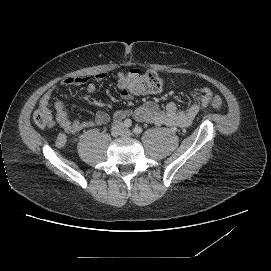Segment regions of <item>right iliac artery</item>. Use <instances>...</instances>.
Instances as JSON below:
<instances>
[{"label": "right iliac artery", "instance_id": "right-iliac-artery-1", "mask_svg": "<svg viewBox=\"0 0 271 271\" xmlns=\"http://www.w3.org/2000/svg\"><path fill=\"white\" fill-rule=\"evenodd\" d=\"M132 125V121L130 119H125L124 120V126L125 127H131Z\"/></svg>", "mask_w": 271, "mask_h": 271}]
</instances>
